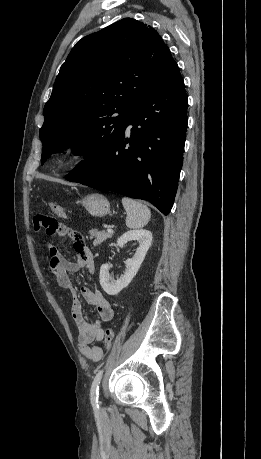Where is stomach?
<instances>
[{
  "mask_svg": "<svg viewBox=\"0 0 261 459\" xmlns=\"http://www.w3.org/2000/svg\"><path fill=\"white\" fill-rule=\"evenodd\" d=\"M86 210L95 217H103L110 212V204L107 198L101 194H90L81 200Z\"/></svg>",
  "mask_w": 261,
  "mask_h": 459,
  "instance_id": "obj_1",
  "label": "stomach"
}]
</instances>
